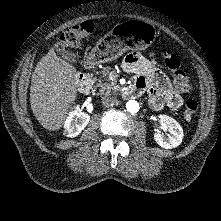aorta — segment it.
<instances>
[{
  "label": "aorta",
  "mask_w": 221,
  "mask_h": 221,
  "mask_svg": "<svg viewBox=\"0 0 221 221\" xmlns=\"http://www.w3.org/2000/svg\"><path fill=\"white\" fill-rule=\"evenodd\" d=\"M127 111L130 113H137L139 111V103L135 100H129L126 103Z\"/></svg>",
  "instance_id": "aorta-1"
}]
</instances>
